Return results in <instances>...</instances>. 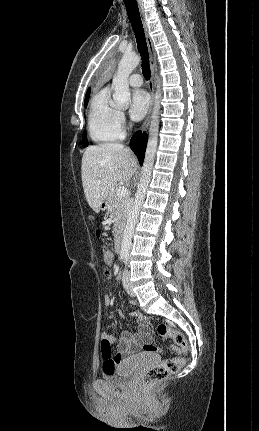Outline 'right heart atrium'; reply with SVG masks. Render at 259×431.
<instances>
[{"instance_id":"right-heart-atrium-1","label":"right heart atrium","mask_w":259,"mask_h":431,"mask_svg":"<svg viewBox=\"0 0 259 431\" xmlns=\"http://www.w3.org/2000/svg\"><path fill=\"white\" fill-rule=\"evenodd\" d=\"M116 121H117L118 125L121 128L126 125L127 118H126L125 114L122 111H117V113H116Z\"/></svg>"}]
</instances>
